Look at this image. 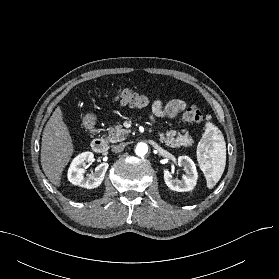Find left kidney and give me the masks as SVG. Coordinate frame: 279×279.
<instances>
[{"mask_svg": "<svg viewBox=\"0 0 279 279\" xmlns=\"http://www.w3.org/2000/svg\"><path fill=\"white\" fill-rule=\"evenodd\" d=\"M178 165L183 166L186 172L181 180L174 179L171 173L164 169V181L169 189L177 192H188L194 189L198 179V173L193 160L188 156H179Z\"/></svg>", "mask_w": 279, "mask_h": 279, "instance_id": "5707ae66", "label": "left kidney"}]
</instances>
